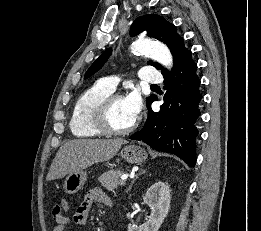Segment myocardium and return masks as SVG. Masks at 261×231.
<instances>
[{"label":"myocardium","instance_id":"f54148a6","mask_svg":"<svg viewBox=\"0 0 261 231\" xmlns=\"http://www.w3.org/2000/svg\"><path fill=\"white\" fill-rule=\"evenodd\" d=\"M124 98L121 93H111L107 97H105L94 109L93 112V124L94 126L103 132L104 134L110 135H126L131 133L136 129L139 123V119L136 118L134 122L123 129L115 128L110 121V112L112 105L118 99Z\"/></svg>","mask_w":261,"mask_h":231}]
</instances>
